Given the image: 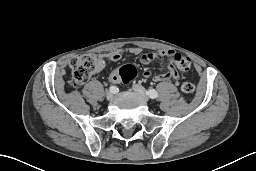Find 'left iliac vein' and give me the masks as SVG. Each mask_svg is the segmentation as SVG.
<instances>
[{"label": "left iliac vein", "mask_w": 256, "mask_h": 171, "mask_svg": "<svg viewBox=\"0 0 256 171\" xmlns=\"http://www.w3.org/2000/svg\"><path fill=\"white\" fill-rule=\"evenodd\" d=\"M132 89L134 92H136L137 94H139L140 96H142V98L145 100V101H149V97L147 96V92L145 90L144 87H142L141 85L139 84H134L132 86Z\"/></svg>", "instance_id": "1"}]
</instances>
